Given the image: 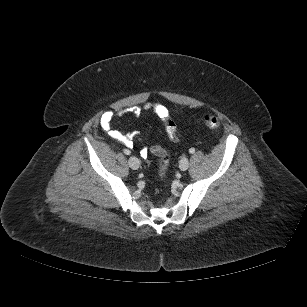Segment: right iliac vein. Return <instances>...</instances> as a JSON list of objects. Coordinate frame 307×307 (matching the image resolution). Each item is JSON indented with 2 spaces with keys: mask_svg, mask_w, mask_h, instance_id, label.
<instances>
[{
  "mask_svg": "<svg viewBox=\"0 0 307 307\" xmlns=\"http://www.w3.org/2000/svg\"><path fill=\"white\" fill-rule=\"evenodd\" d=\"M128 164L134 170H137L140 167L139 159L137 157H134V156L129 158Z\"/></svg>",
  "mask_w": 307,
  "mask_h": 307,
  "instance_id": "1",
  "label": "right iliac vein"
}]
</instances>
